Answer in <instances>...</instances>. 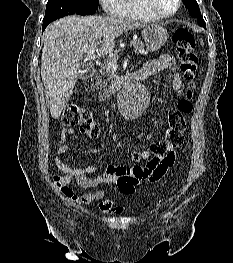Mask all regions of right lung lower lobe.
I'll return each mask as SVG.
<instances>
[{"mask_svg": "<svg viewBox=\"0 0 233 263\" xmlns=\"http://www.w3.org/2000/svg\"><path fill=\"white\" fill-rule=\"evenodd\" d=\"M50 22L43 21L42 30H44Z\"/></svg>", "mask_w": 233, "mask_h": 263, "instance_id": "obj_1", "label": "right lung lower lobe"}]
</instances>
